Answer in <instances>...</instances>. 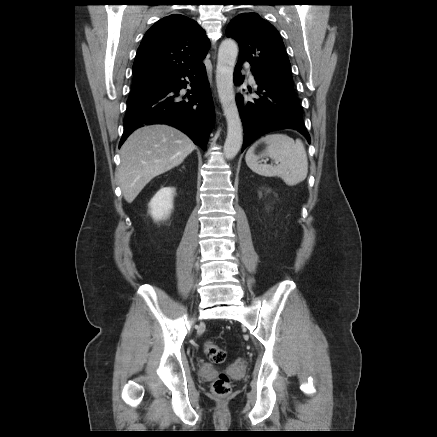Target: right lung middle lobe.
Listing matches in <instances>:
<instances>
[{
	"label": "right lung middle lobe",
	"mask_w": 437,
	"mask_h": 437,
	"mask_svg": "<svg viewBox=\"0 0 437 437\" xmlns=\"http://www.w3.org/2000/svg\"><path fill=\"white\" fill-rule=\"evenodd\" d=\"M164 80H148L134 82L132 85L131 95L139 94L161 85Z\"/></svg>",
	"instance_id": "dd1d6c3e"
}]
</instances>
